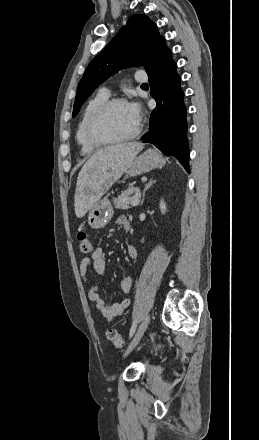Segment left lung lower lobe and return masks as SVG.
I'll list each match as a JSON object with an SVG mask.
<instances>
[{
	"label": "left lung lower lobe",
	"instance_id": "0a47b994",
	"mask_svg": "<svg viewBox=\"0 0 259 440\" xmlns=\"http://www.w3.org/2000/svg\"><path fill=\"white\" fill-rule=\"evenodd\" d=\"M165 39L145 68L151 96L156 108L150 116L148 132L143 143H152L166 156H175L189 173V149L186 138V108L181 78Z\"/></svg>",
	"mask_w": 259,
	"mask_h": 440
}]
</instances>
